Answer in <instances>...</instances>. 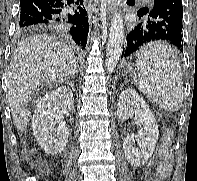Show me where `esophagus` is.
Wrapping results in <instances>:
<instances>
[{
    "instance_id": "1",
    "label": "esophagus",
    "mask_w": 197,
    "mask_h": 181,
    "mask_svg": "<svg viewBox=\"0 0 197 181\" xmlns=\"http://www.w3.org/2000/svg\"><path fill=\"white\" fill-rule=\"evenodd\" d=\"M107 8L109 12H112L114 9L115 0H106Z\"/></svg>"
}]
</instances>
